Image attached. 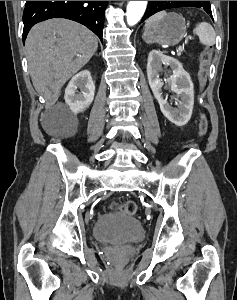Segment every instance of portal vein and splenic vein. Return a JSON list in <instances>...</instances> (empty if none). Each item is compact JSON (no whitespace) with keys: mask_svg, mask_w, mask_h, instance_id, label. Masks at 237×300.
Wrapping results in <instances>:
<instances>
[{"mask_svg":"<svg viewBox=\"0 0 237 300\" xmlns=\"http://www.w3.org/2000/svg\"><path fill=\"white\" fill-rule=\"evenodd\" d=\"M179 50H180V52H181V55L185 52V51H184V48H182V45H179Z\"/></svg>","mask_w":237,"mask_h":300,"instance_id":"1","label":"portal vein and splenic vein"}]
</instances>
